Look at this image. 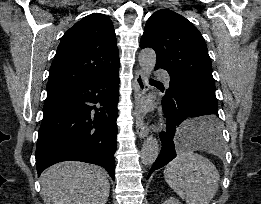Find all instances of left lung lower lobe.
<instances>
[{"label": "left lung lower lobe", "mask_w": 261, "mask_h": 204, "mask_svg": "<svg viewBox=\"0 0 261 204\" xmlns=\"http://www.w3.org/2000/svg\"><path fill=\"white\" fill-rule=\"evenodd\" d=\"M162 105L167 118V127L166 132L160 134L162 149L150 169L148 177L153 171L165 166L176 157L177 143L180 142L182 136L189 143L191 142L189 133L180 131L181 126L179 127V125L184 120L206 115L208 118L195 127V137L211 141H217L220 137L216 119L218 117L217 99L206 91L194 86L182 85L173 89L169 95L165 94Z\"/></svg>", "instance_id": "1"}]
</instances>
